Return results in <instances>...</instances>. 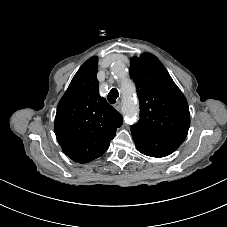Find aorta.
<instances>
[{
	"label": "aorta",
	"mask_w": 227,
	"mask_h": 227,
	"mask_svg": "<svg viewBox=\"0 0 227 227\" xmlns=\"http://www.w3.org/2000/svg\"><path fill=\"white\" fill-rule=\"evenodd\" d=\"M113 75L116 79H121L126 74V67L122 62H115L112 67ZM126 116L129 120H132L138 113V107L132 101H130L129 97L126 98Z\"/></svg>",
	"instance_id": "aorta-1"
}]
</instances>
